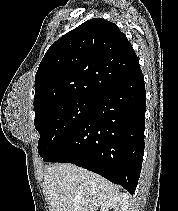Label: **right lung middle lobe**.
Listing matches in <instances>:
<instances>
[{
    "label": "right lung middle lobe",
    "mask_w": 178,
    "mask_h": 211,
    "mask_svg": "<svg viewBox=\"0 0 178 211\" xmlns=\"http://www.w3.org/2000/svg\"><path fill=\"white\" fill-rule=\"evenodd\" d=\"M95 99L74 98L50 104L35 113L40 134L38 152L44 158L87 118Z\"/></svg>",
    "instance_id": "1"
}]
</instances>
